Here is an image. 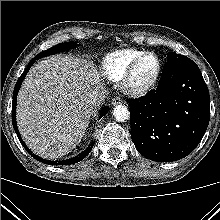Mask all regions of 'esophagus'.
I'll use <instances>...</instances> for the list:
<instances>
[{
	"label": "esophagus",
	"instance_id": "obj_1",
	"mask_svg": "<svg viewBox=\"0 0 220 220\" xmlns=\"http://www.w3.org/2000/svg\"><path fill=\"white\" fill-rule=\"evenodd\" d=\"M122 103V99L120 97H114L112 99V105H118Z\"/></svg>",
	"mask_w": 220,
	"mask_h": 220
}]
</instances>
